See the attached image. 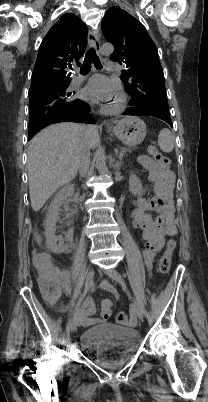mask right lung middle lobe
Returning <instances> with one entry per match:
<instances>
[{
	"mask_svg": "<svg viewBox=\"0 0 208 402\" xmlns=\"http://www.w3.org/2000/svg\"><path fill=\"white\" fill-rule=\"evenodd\" d=\"M71 79L42 83L29 91L30 118L45 114L66 112L77 108L81 100L68 90Z\"/></svg>",
	"mask_w": 208,
	"mask_h": 402,
	"instance_id": "right-lung-middle-lobe-1",
	"label": "right lung middle lobe"
}]
</instances>
